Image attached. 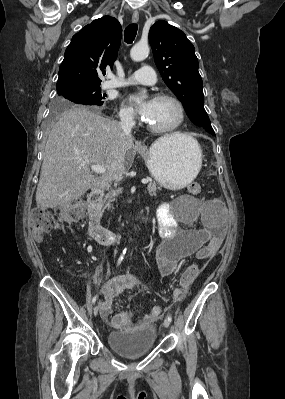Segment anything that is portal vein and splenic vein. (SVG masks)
Masks as SVG:
<instances>
[{
	"label": "portal vein and splenic vein",
	"instance_id": "portal-vein-and-splenic-vein-1",
	"mask_svg": "<svg viewBox=\"0 0 285 399\" xmlns=\"http://www.w3.org/2000/svg\"><path fill=\"white\" fill-rule=\"evenodd\" d=\"M90 167H91V170L96 173L103 174L106 171L105 167H103L101 165H91ZM147 183H148V180L142 179V184H147Z\"/></svg>",
	"mask_w": 285,
	"mask_h": 399
}]
</instances>
